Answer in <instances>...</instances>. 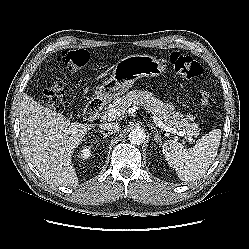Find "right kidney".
Returning <instances> with one entry per match:
<instances>
[{
    "mask_svg": "<svg viewBox=\"0 0 249 249\" xmlns=\"http://www.w3.org/2000/svg\"><path fill=\"white\" fill-rule=\"evenodd\" d=\"M91 155H92L91 145H84L82 148H80L78 157L83 159V160H86V159L90 158Z\"/></svg>",
    "mask_w": 249,
    "mask_h": 249,
    "instance_id": "ca27d5eb",
    "label": "right kidney"
}]
</instances>
